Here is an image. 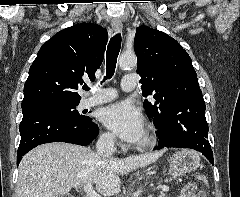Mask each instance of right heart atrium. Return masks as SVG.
I'll return each instance as SVG.
<instances>
[{
  "instance_id": "1",
  "label": "right heart atrium",
  "mask_w": 240,
  "mask_h": 197,
  "mask_svg": "<svg viewBox=\"0 0 240 197\" xmlns=\"http://www.w3.org/2000/svg\"><path fill=\"white\" fill-rule=\"evenodd\" d=\"M115 136L110 132H105L101 135V141L103 144L111 146L115 143Z\"/></svg>"
}]
</instances>
